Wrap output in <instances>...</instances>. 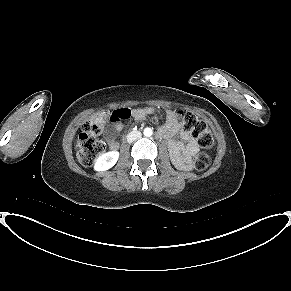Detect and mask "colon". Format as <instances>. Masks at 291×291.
I'll use <instances>...</instances> for the list:
<instances>
[{
    "instance_id": "1",
    "label": "colon",
    "mask_w": 291,
    "mask_h": 291,
    "mask_svg": "<svg viewBox=\"0 0 291 291\" xmlns=\"http://www.w3.org/2000/svg\"><path fill=\"white\" fill-rule=\"evenodd\" d=\"M176 114L183 128L196 137L202 148L209 149L214 145V138L204 121L187 110H178ZM130 116L131 111L128 108H123L115 110L111 114L106 112L97 113L86 122L77 140L79 162L83 166H91L105 150V145L97 137L104 132L108 122L128 119ZM209 163V155L201 151L193 159V168L202 171L208 167Z\"/></svg>"
}]
</instances>
